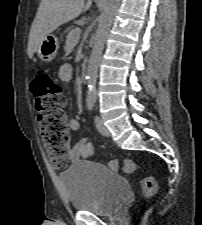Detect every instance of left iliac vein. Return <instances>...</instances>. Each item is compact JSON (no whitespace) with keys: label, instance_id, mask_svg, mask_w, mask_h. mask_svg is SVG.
<instances>
[{"label":"left iliac vein","instance_id":"left-iliac-vein-1","mask_svg":"<svg viewBox=\"0 0 202 225\" xmlns=\"http://www.w3.org/2000/svg\"><path fill=\"white\" fill-rule=\"evenodd\" d=\"M95 125L97 130L104 136L109 137L110 136V131L108 128L104 125L102 119L99 116L95 117Z\"/></svg>","mask_w":202,"mask_h":225}]
</instances>
